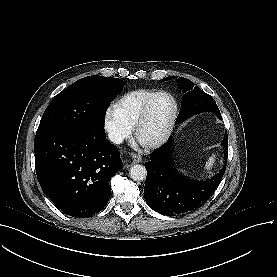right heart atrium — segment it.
Masks as SVG:
<instances>
[{"label": "right heart atrium", "instance_id": "obj_1", "mask_svg": "<svg viewBox=\"0 0 277 277\" xmlns=\"http://www.w3.org/2000/svg\"><path fill=\"white\" fill-rule=\"evenodd\" d=\"M104 127L115 142L122 141L131 132V125L119 115L114 106L108 107L104 113Z\"/></svg>", "mask_w": 277, "mask_h": 277}]
</instances>
